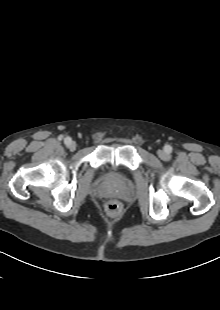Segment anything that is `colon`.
<instances>
[{"instance_id":"obj_1","label":"colon","mask_w":220,"mask_h":310,"mask_svg":"<svg viewBox=\"0 0 220 310\" xmlns=\"http://www.w3.org/2000/svg\"><path fill=\"white\" fill-rule=\"evenodd\" d=\"M106 210L111 215H117L121 211V205L118 202H116V201H110L106 205Z\"/></svg>"}]
</instances>
